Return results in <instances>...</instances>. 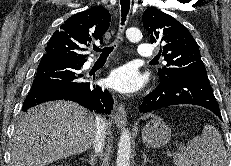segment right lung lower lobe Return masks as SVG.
Segmentation results:
<instances>
[{"label":"right lung lower lobe","mask_w":231,"mask_h":166,"mask_svg":"<svg viewBox=\"0 0 231 166\" xmlns=\"http://www.w3.org/2000/svg\"><path fill=\"white\" fill-rule=\"evenodd\" d=\"M85 61H72L44 55L39 63L32 87L24 101L23 111L52 100H71L87 109L110 114L111 94L87 81L79 70Z\"/></svg>","instance_id":"obj_1"}]
</instances>
